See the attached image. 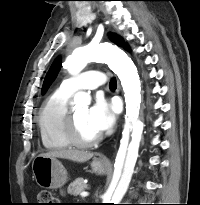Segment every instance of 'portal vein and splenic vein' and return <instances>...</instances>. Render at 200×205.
Wrapping results in <instances>:
<instances>
[{
  "mask_svg": "<svg viewBox=\"0 0 200 205\" xmlns=\"http://www.w3.org/2000/svg\"><path fill=\"white\" fill-rule=\"evenodd\" d=\"M88 195H89V193L86 192V191H83V192L80 193L81 197H87Z\"/></svg>",
  "mask_w": 200,
  "mask_h": 205,
  "instance_id": "1",
  "label": "portal vein and splenic vein"
}]
</instances>
